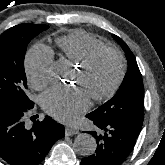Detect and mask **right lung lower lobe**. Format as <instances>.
Returning a JSON list of instances; mask_svg holds the SVG:
<instances>
[{"label":"right lung lower lobe","instance_id":"1","mask_svg":"<svg viewBox=\"0 0 165 165\" xmlns=\"http://www.w3.org/2000/svg\"><path fill=\"white\" fill-rule=\"evenodd\" d=\"M29 109L0 107V157L10 165L40 164L65 135L64 126L49 116L26 129L24 115Z\"/></svg>","mask_w":165,"mask_h":165}]
</instances>
